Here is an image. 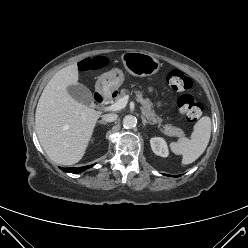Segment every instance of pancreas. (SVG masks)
<instances>
[{
  "label": "pancreas",
  "instance_id": "cf45deb5",
  "mask_svg": "<svg viewBox=\"0 0 248 248\" xmlns=\"http://www.w3.org/2000/svg\"><path fill=\"white\" fill-rule=\"evenodd\" d=\"M128 90L122 89L120 94H118L115 98V102L123 98L127 95ZM137 100L142 105V114L151 121L152 124H159V127H161L162 119L158 117L153 110V103L148 98H143V94L140 91H135ZM162 132L170 137H179L183 138L185 136L184 132L175 126L172 125H163L162 126Z\"/></svg>",
  "mask_w": 248,
  "mask_h": 248
}]
</instances>
